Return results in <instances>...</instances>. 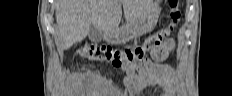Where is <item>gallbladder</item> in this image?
<instances>
[{"label":"gallbladder","mask_w":232,"mask_h":96,"mask_svg":"<svg viewBox=\"0 0 232 96\" xmlns=\"http://www.w3.org/2000/svg\"><path fill=\"white\" fill-rule=\"evenodd\" d=\"M88 37L93 42H100L102 39V32L99 31L93 24L90 25Z\"/></svg>","instance_id":"1"}]
</instances>
